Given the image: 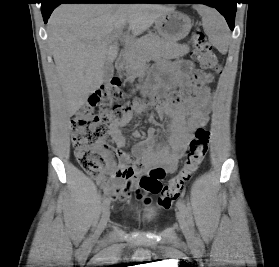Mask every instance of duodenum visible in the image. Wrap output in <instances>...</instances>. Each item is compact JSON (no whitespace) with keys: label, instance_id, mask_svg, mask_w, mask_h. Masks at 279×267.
Masks as SVG:
<instances>
[{"label":"duodenum","instance_id":"duodenum-1","mask_svg":"<svg viewBox=\"0 0 279 267\" xmlns=\"http://www.w3.org/2000/svg\"><path fill=\"white\" fill-rule=\"evenodd\" d=\"M125 68L126 64L124 60L121 59L116 63V70L118 73H123L125 71Z\"/></svg>","mask_w":279,"mask_h":267}]
</instances>
